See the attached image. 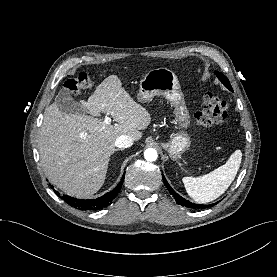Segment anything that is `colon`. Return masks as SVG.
Wrapping results in <instances>:
<instances>
[{"label": "colon", "mask_w": 277, "mask_h": 277, "mask_svg": "<svg viewBox=\"0 0 277 277\" xmlns=\"http://www.w3.org/2000/svg\"><path fill=\"white\" fill-rule=\"evenodd\" d=\"M91 86L92 82L85 73L67 79L64 83L65 90L73 95ZM202 100L203 106L194 114V121L197 126L207 128L226 120L228 106L224 99L211 92H205L202 95Z\"/></svg>", "instance_id": "colon-1"}]
</instances>
